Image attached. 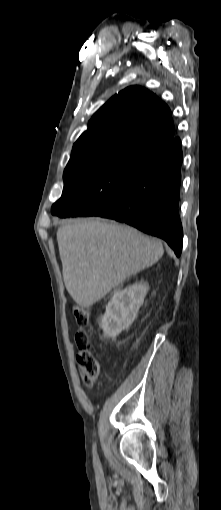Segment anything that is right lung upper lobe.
Returning <instances> with one entry per match:
<instances>
[{"label":"right lung upper lobe","mask_w":221,"mask_h":510,"mask_svg":"<svg viewBox=\"0 0 221 510\" xmlns=\"http://www.w3.org/2000/svg\"><path fill=\"white\" fill-rule=\"evenodd\" d=\"M175 138L169 107L148 90L131 86L93 115L70 160L123 147L153 151Z\"/></svg>","instance_id":"right-lung-upper-lobe-1"}]
</instances>
